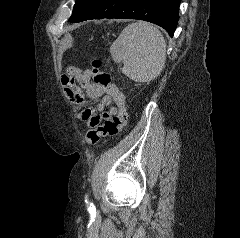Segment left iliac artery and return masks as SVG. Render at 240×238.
<instances>
[{"label": "left iliac artery", "instance_id": "left-iliac-artery-1", "mask_svg": "<svg viewBox=\"0 0 240 238\" xmlns=\"http://www.w3.org/2000/svg\"><path fill=\"white\" fill-rule=\"evenodd\" d=\"M89 210L95 209L92 204H90Z\"/></svg>", "mask_w": 240, "mask_h": 238}]
</instances>
